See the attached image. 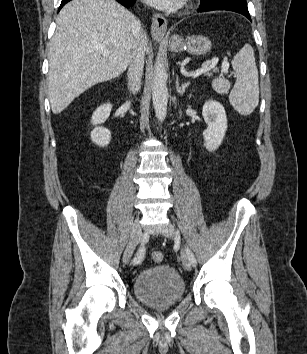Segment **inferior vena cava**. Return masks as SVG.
<instances>
[{"label":"inferior vena cava","mask_w":307,"mask_h":354,"mask_svg":"<svg viewBox=\"0 0 307 354\" xmlns=\"http://www.w3.org/2000/svg\"><path fill=\"white\" fill-rule=\"evenodd\" d=\"M137 39L133 47L128 69V87L133 94H136L141 87L143 75L146 35L143 32L140 22L137 21Z\"/></svg>","instance_id":"1"}]
</instances>
